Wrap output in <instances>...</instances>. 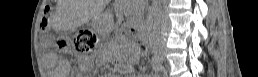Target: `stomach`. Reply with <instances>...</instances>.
Listing matches in <instances>:
<instances>
[{
	"mask_svg": "<svg viewBox=\"0 0 258 77\" xmlns=\"http://www.w3.org/2000/svg\"><path fill=\"white\" fill-rule=\"evenodd\" d=\"M94 25H95L97 28H99L100 25H101V20L98 19V18H94Z\"/></svg>",
	"mask_w": 258,
	"mask_h": 77,
	"instance_id": "0dacf381",
	"label": "stomach"
}]
</instances>
